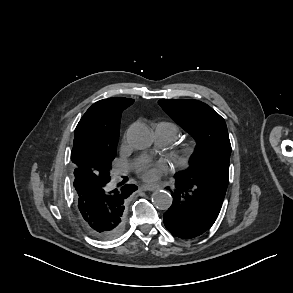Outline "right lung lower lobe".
Wrapping results in <instances>:
<instances>
[{
  "label": "right lung lower lobe",
  "mask_w": 293,
  "mask_h": 293,
  "mask_svg": "<svg viewBox=\"0 0 293 293\" xmlns=\"http://www.w3.org/2000/svg\"><path fill=\"white\" fill-rule=\"evenodd\" d=\"M110 176L75 169L74 189L79 217L87 231L100 239L118 236L124 229V202L137 190L133 184L109 187Z\"/></svg>",
  "instance_id": "obj_1"
}]
</instances>
